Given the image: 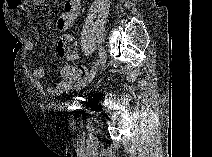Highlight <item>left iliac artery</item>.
Masks as SVG:
<instances>
[{"instance_id": "left-iliac-artery-1", "label": "left iliac artery", "mask_w": 212, "mask_h": 157, "mask_svg": "<svg viewBox=\"0 0 212 157\" xmlns=\"http://www.w3.org/2000/svg\"><path fill=\"white\" fill-rule=\"evenodd\" d=\"M98 58L99 59L97 60L98 61L97 63H105L106 62V58H107L106 51L102 46H99V48H98ZM85 78L86 77H84L82 80H84Z\"/></svg>"}]
</instances>
